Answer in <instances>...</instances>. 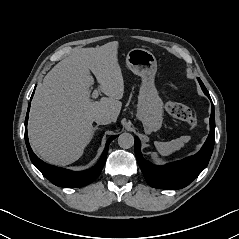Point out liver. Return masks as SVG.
<instances>
[{
  "label": "liver",
  "mask_w": 239,
  "mask_h": 239,
  "mask_svg": "<svg viewBox=\"0 0 239 239\" xmlns=\"http://www.w3.org/2000/svg\"><path fill=\"white\" fill-rule=\"evenodd\" d=\"M118 47L114 41L76 50L55 65L37 87L28 135L32 148L46 162L64 166L78 160L93 137L97 114L108 113L116 122L124 93ZM90 70L108 97L90 99L94 82Z\"/></svg>",
  "instance_id": "6515ba94"
}]
</instances>
